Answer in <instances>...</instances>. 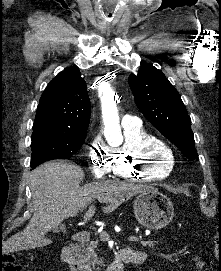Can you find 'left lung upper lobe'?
<instances>
[{
	"label": "left lung upper lobe",
	"mask_w": 221,
	"mask_h": 271,
	"mask_svg": "<svg viewBox=\"0 0 221 271\" xmlns=\"http://www.w3.org/2000/svg\"><path fill=\"white\" fill-rule=\"evenodd\" d=\"M129 85L139 110L157 130L191 160L197 159L191 118L178 91L163 72L145 65L129 76Z\"/></svg>",
	"instance_id": "left-lung-upper-lobe-1"
}]
</instances>
